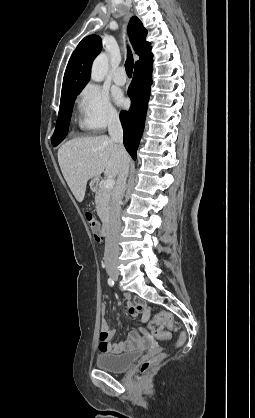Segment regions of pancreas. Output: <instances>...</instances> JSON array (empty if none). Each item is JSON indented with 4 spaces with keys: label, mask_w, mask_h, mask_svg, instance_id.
Segmentation results:
<instances>
[{
    "label": "pancreas",
    "mask_w": 255,
    "mask_h": 418,
    "mask_svg": "<svg viewBox=\"0 0 255 418\" xmlns=\"http://www.w3.org/2000/svg\"><path fill=\"white\" fill-rule=\"evenodd\" d=\"M110 198L111 191L109 189L104 188L103 184H100L96 190L95 204L97 214L102 220L106 219L109 215Z\"/></svg>",
    "instance_id": "obj_1"
}]
</instances>
